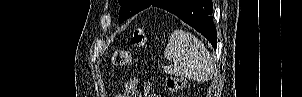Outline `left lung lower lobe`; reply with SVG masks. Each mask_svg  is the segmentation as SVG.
<instances>
[{
	"label": "left lung lower lobe",
	"instance_id": "1",
	"mask_svg": "<svg viewBox=\"0 0 302 97\" xmlns=\"http://www.w3.org/2000/svg\"><path fill=\"white\" fill-rule=\"evenodd\" d=\"M150 6L163 8L178 16L204 35L216 49L217 33L212 20L211 0H155Z\"/></svg>",
	"mask_w": 302,
	"mask_h": 97
}]
</instances>
